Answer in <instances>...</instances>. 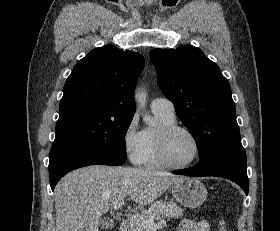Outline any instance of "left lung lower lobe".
Returning a JSON list of instances; mask_svg holds the SVG:
<instances>
[{
  "label": "left lung lower lobe",
  "mask_w": 280,
  "mask_h": 231,
  "mask_svg": "<svg viewBox=\"0 0 280 231\" xmlns=\"http://www.w3.org/2000/svg\"><path fill=\"white\" fill-rule=\"evenodd\" d=\"M173 173L223 177L237 183L248 194L247 158L241 141L223 145L201 159L196 166Z\"/></svg>",
  "instance_id": "1"
}]
</instances>
